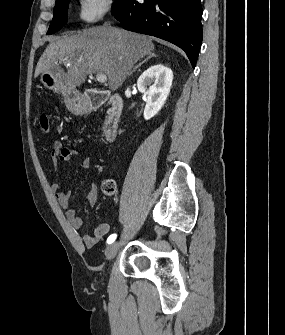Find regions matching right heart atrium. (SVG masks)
Returning a JSON list of instances; mask_svg holds the SVG:
<instances>
[{
    "label": "right heart atrium",
    "mask_w": 285,
    "mask_h": 335,
    "mask_svg": "<svg viewBox=\"0 0 285 335\" xmlns=\"http://www.w3.org/2000/svg\"><path fill=\"white\" fill-rule=\"evenodd\" d=\"M110 4V1H82L75 11V18L84 26L92 25L107 13Z\"/></svg>",
    "instance_id": "obj_1"
}]
</instances>
